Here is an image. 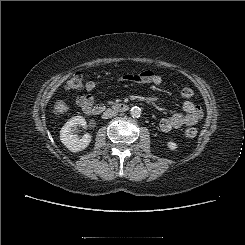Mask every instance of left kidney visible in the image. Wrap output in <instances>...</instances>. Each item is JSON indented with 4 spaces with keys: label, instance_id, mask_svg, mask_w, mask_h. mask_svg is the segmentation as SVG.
I'll return each instance as SVG.
<instances>
[{
    "label": "left kidney",
    "instance_id": "5707ae66",
    "mask_svg": "<svg viewBox=\"0 0 245 245\" xmlns=\"http://www.w3.org/2000/svg\"><path fill=\"white\" fill-rule=\"evenodd\" d=\"M167 146L170 150H176L177 149V144L173 141L167 142Z\"/></svg>",
    "mask_w": 245,
    "mask_h": 245
}]
</instances>
